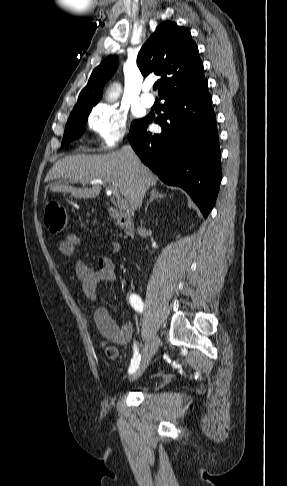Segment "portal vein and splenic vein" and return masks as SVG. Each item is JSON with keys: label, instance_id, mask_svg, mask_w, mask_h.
Segmentation results:
<instances>
[{"label": "portal vein and splenic vein", "instance_id": "1", "mask_svg": "<svg viewBox=\"0 0 287 486\" xmlns=\"http://www.w3.org/2000/svg\"><path fill=\"white\" fill-rule=\"evenodd\" d=\"M108 194H113L116 199H117V204H118V207L120 209H127L128 208V202L126 199H124L123 197L120 196L119 192L113 188V187H110V189L108 190L107 192Z\"/></svg>", "mask_w": 287, "mask_h": 486}]
</instances>
